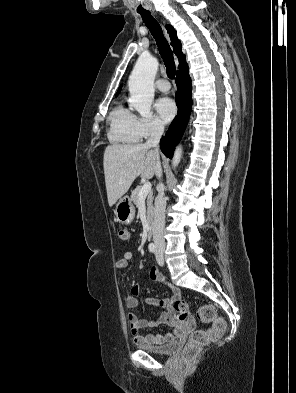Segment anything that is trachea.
Returning <instances> with one entry per match:
<instances>
[{
	"instance_id": "obj_1",
	"label": "trachea",
	"mask_w": 296,
	"mask_h": 393,
	"mask_svg": "<svg viewBox=\"0 0 296 393\" xmlns=\"http://www.w3.org/2000/svg\"><path fill=\"white\" fill-rule=\"evenodd\" d=\"M140 15L145 23V25L148 27L150 30L151 34L153 35L160 55L163 59V62L166 66V71L167 75L170 79H174L176 75V67L173 59V52L165 39L163 35V31L161 29V26L159 23L152 17L151 13L146 11V12H140Z\"/></svg>"
}]
</instances>
